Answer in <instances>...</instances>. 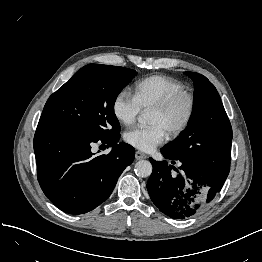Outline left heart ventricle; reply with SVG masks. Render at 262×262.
<instances>
[{"label":"left heart ventricle","instance_id":"1","mask_svg":"<svg viewBox=\"0 0 262 262\" xmlns=\"http://www.w3.org/2000/svg\"><path fill=\"white\" fill-rule=\"evenodd\" d=\"M185 112L186 104L184 102H180L168 112L150 110L149 122L150 124H161L168 132L183 119Z\"/></svg>","mask_w":262,"mask_h":262}]
</instances>
